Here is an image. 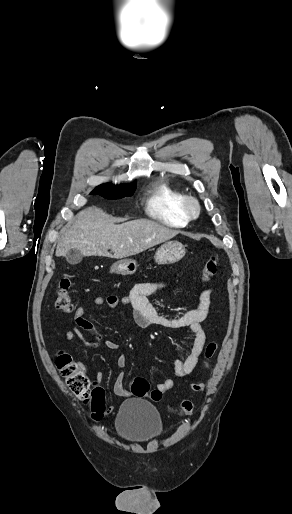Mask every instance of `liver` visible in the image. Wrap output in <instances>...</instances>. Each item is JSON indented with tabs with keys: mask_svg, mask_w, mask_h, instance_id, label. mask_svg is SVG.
I'll use <instances>...</instances> for the list:
<instances>
[{
	"mask_svg": "<svg viewBox=\"0 0 292 514\" xmlns=\"http://www.w3.org/2000/svg\"><path fill=\"white\" fill-rule=\"evenodd\" d=\"M68 228L61 230L56 256H65L68 250L76 248L83 256L128 258L179 234L151 220H132L116 226L100 208L82 210L77 214L75 224Z\"/></svg>",
	"mask_w": 292,
	"mask_h": 514,
	"instance_id": "liver-1",
	"label": "liver"
}]
</instances>
